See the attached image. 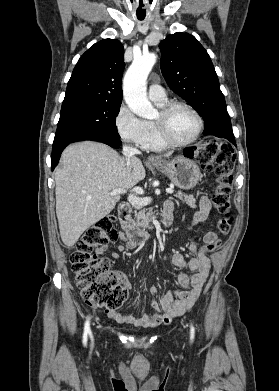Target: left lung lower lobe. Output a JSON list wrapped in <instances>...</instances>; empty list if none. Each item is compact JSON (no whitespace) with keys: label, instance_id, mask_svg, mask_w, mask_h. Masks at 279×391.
<instances>
[{"label":"left lung lower lobe","instance_id":"obj_1","mask_svg":"<svg viewBox=\"0 0 279 391\" xmlns=\"http://www.w3.org/2000/svg\"><path fill=\"white\" fill-rule=\"evenodd\" d=\"M223 138L228 139L231 143H233L234 145H236L235 140H234V136H233V135H225ZM184 154H185V153H184ZM185 155H187V154H185Z\"/></svg>","mask_w":279,"mask_h":391}]
</instances>
